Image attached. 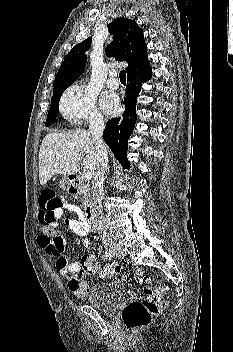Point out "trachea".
Segmentation results:
<instances>
[{"mask_svg": "<svg viewBox=\"0 0 233 352\" xmlns=\"http://www.w3.org/2000/svg\"><path fill=\"white\" fill-rule=\"evenodd\" d=\"M119 78H120V81H121V82H126V72H125V70H122V71L119 73Z\"/></svg>", "mask_w": 233, "mask_h": 352, "instance_id": "trachea-1", "label": "trachea"}]
</instances>
